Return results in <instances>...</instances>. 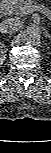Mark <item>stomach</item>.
Here are the masks:
<instances>
[{"label":"stomach","instance_id":"obj_1","mask_svg":"<svg viewBox=\"0 0 51 153\" xmlns=\"http://www.w3.org/2000/svg\"><path fill=\"white\" fill-rule=\"evenodd\" d=\"M10 2H19L21 0H9Z\"/></svg>","mask_w":51,"mask_h":153}]
</instances>
